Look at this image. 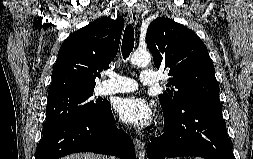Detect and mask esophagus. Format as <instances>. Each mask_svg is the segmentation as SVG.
<instances>
[{
    "instance_id": "obj_1",
    "label": "esophagus",
    "mask_w": 253,
    "mask_h": 159,
    "mask_svg": "<svg viewBox=\"0 0 253 159\" xmlns=\"http://www.w3.org/2000/svg\"><path fill=\"white\" fill-rule=\"evenodd\" d=\"M128 16L130 22L136 26L138 23V13L137 11L132 8L128 10ZM133 144L135 146L136 154L138 159H145L146 153H145V142L139 138L133 139Z\"/></svg>"
}]
</instances>
